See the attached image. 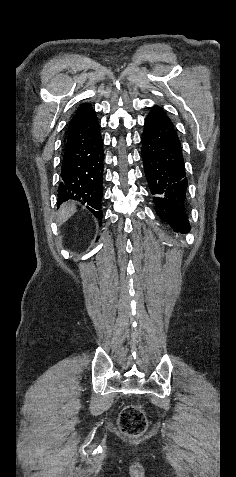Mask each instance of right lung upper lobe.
<instances>
[{"label": "right lung upper lobe", "instance_id": "right-lung-upper-lobe-1", "mask_svg": "<svg viewBox=\"0 0 236 477\" xmlns=\"http://www.w3.org/2000/svg\"><path fill=\"white\" fill-rule=\"evenodd\" d=\"M93 111L94 110L92 109L91 104L89 103L82 104L76 111L75 115L73 116L69 124L68 132L77 128L87 118V116Z\"/></svg>", "mask_w": 236, "mask_h": 477}]
</instances>
